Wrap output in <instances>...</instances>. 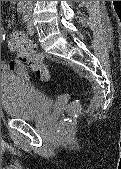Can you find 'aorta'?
<instances>
[{
  "mask_svg": "<svg viewBox=\"0 0 121 169\" xmlns=\"http://www.w3.org/2000/svg\"><path fill=\"white\" fill-rule=\"evenodd\" d=\"M20 3H22V4H30V3H32V1H20Z\"/></svg>",
  "mask_w": 121,
  "mask_h": 169,
  "instance_id": "obj_1",
  "label": "aorta"
}]
</instances>
